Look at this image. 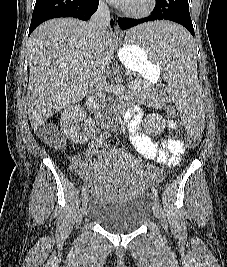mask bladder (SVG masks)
I'll return each mask as SVG.
<instances>
[{"mask_svg": "<svg viewBox=\"0 0 227 267\" xmlns=\"http://www.w3.org/2000/svg\"><path fill=\"white\" fill-rule=\"evenodd\" d=\"M151 208L143 195L121 200H97L91 205L88 217L113 233H130L140 228L150 217Z\"/></svg>", "mask_w": 227, "mask_h": 267, "instance_id": "bladder-1", "label": "bladder"}]
</instances>
